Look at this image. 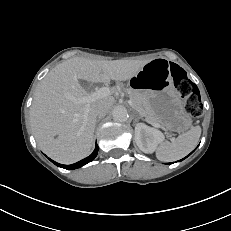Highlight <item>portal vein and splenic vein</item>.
Returning a JSON list of instances; mask_svg holds the SVG:
<instances>
[{
  "label": "portal vein and splenic vein",
  "mask_w": 231,
  "mask_h": 231,
  "mask_svg": "<svg viewBox=\"0 0 231 231\" xmlns=\"http://www.w3.org/2000/svg\"><path fill=\"white\" fill-rule=\"evenodd\" d=\"M111 94V90L108 88V87H102L100 89H98L97 91L89 94V95H86V96H83V97H74V96H69V98L74 101L75 103H78V104H89L93 101H96L98 99H101L103 97H106L108 95ZM129 104L134 107V104L131 100H129ZM151 125L155 126V127H158L160 128L161 126L157 123H153V122H149Z\"/></svg>",
  "instance_id": "portal-vein-and-splenic-vein-1"
}]
</instances>
